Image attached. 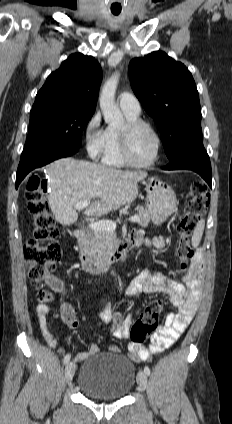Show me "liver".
Masks as SVG:
<instances>
[{
    "instance_id": "6515ba94",
    "label": "liver",
    "mask_w": 232,
    "mask_h": 424,
    "mask_svg": "<svg viewBox=\"0 0 232 424\" xmlns=\"http://www.w3.org/2000/svg\"><path fill=\"white\" fill-rule=\"evenodd\" d=\"M49 175V207L62 225L78 219L75 203L89 201L84 214L102 216L122 205L132 203L138 195V182L145 171H120L95 163L61 158L46 167Z\"/></svg>"
}]
</instances>
